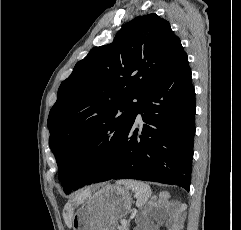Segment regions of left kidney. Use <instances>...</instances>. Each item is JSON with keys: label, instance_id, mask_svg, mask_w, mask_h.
<instances>
[{"label": "left kidney", "instance_id": "obj_1", "mask_svg": "<svg viewBox=\"0 0 241 230\" xmlns=\"http://www.w3.org/2000/svg\"><path fill=\"white\" fill-rule=\"evenodd\" d=\"M148 212H145V216L147 217ZM155 226H153L151 224V222L149 220H147L146 222H144L139 228L138 230H155Z\"/></svg>", "mask_w": 241, "mask_h": 230}]
</instances>
